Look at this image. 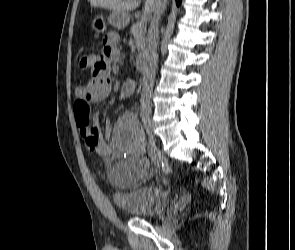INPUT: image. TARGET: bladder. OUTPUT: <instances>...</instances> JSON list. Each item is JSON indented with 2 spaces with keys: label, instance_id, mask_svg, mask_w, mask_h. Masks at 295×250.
I'll return each mask as SVG.
<instances>
[{
  "label": "bladder",
  "instance_id": "obj_1",
  "mask_svg": "<svg viewBox=\"0 0 295 250\" xmlns=\"http://www.w3.org/2000/svg\"><path fill=\"white\" fill-rule=\"evenodd\" d=\"M129 187V190L118 191L114 198L120 209L139 218H155L165 211L168 196L164 189L154 185Z\"/></svg>",
  "mask_w": 295,
  "mask_h": 250
}]
</instances>
